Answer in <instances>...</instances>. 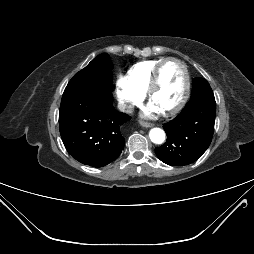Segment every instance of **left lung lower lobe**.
<instances>
[{
    "label": "left lung lower lobe",
    "mask_w": 254,
    "mask_h": 254,
    "mask_svg": "<svg viewBox=\"0 0 254 254\" xmlns=\"http://www.w3.org/2000/svg\"><path fill=\"white\" fill-rule=\"evenodd\" d=\"M215 114V102L189 101L176 118L163 125L167 140L155 148L158 158L171 166L195 162L211 143Z\"/></svg>",
    "instance_id": "obj_1"
}]
</instances>
